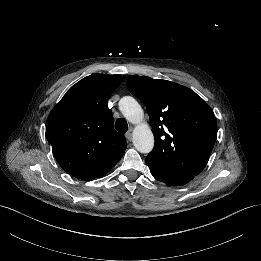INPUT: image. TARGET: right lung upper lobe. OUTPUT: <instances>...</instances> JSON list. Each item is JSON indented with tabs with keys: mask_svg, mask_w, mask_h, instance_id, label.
Listing matches in <instances>:
<instances>
[{
	"mask_svg": "<svg viewBox=\"0 0 261 261\" xmlns=\"http://www.w3.org/2000/svg\"><path fill=\"white\" fill-rule=\"evenodd\" d=\"M119 75L92 74L72 86L50 112L46 136L54 157L70 175L91 180L108 172L122 157L126 139L113 128L108 99Z\"/></svg>",
	"mask_w": 261,
	"mask_h": 261,
	"instance_id": "1",
	"label": "right lung upper lobe"
}]
</instances>
